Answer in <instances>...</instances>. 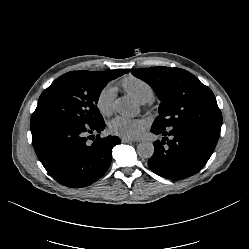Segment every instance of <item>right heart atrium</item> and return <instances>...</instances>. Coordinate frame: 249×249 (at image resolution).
<instances>
[{
    "mask_svg": "<svg viewBox=\"0 0 249 249\" xmlns=\"http://www.w3.org/2000/svg\"><path fill=\"white\" fill-rule=\"evenodd\" d=\"M115 88L107 84L103 86L96 97V107L101 115L108 116L114 110Z\"/></svg>",
    "mask_w": 249,
    "mask_h": 249,
    "instance_id": "1",
    "label": "right heart atrium"
}]
</instances>
